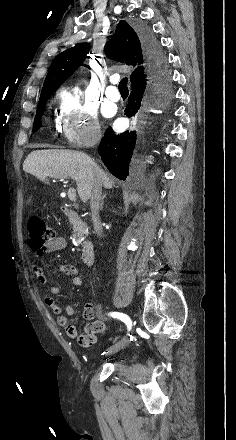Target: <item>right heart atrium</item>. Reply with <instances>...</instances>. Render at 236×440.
<instances>
[{
  "mask_svg": "<svg viewBox=\"0 0 236 440\" xmlns=\"http://www.w3.org/2000/svg\"><path fill=\"white\" fill-rule=\"evenodd\" d=\"M57 118L63 138L74 147H88L101 139L95 105L76 87L58 92Z\"/></svg>",
  "mask_w": 236,
  "mask_h": 440,
  "instance_id": "d8ad5b80",
  "label": "right heart atrium"
}]
</instances>
